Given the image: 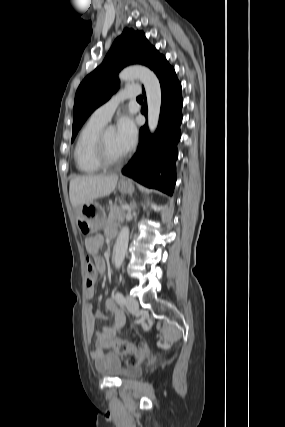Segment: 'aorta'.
Masks as SVG:
<instances>
[{
  "label": "aorta",
  "instance_id": "1",
  "mask_svg": "<svg viewBox=\"0 0 285 427\" xmlns=\"http://www.w3.org/2000/svg\"><path fill=\"white\" fill-rule=\"evenodd\" d=\"M120 81L127 82L133 79H139L146 92L147 108H148V127L153 133L159 122L160 109H161V87L157 76L149 68L134 65L123 69L119 73ZM129 241V228L124 226L116 240L114 248V265L120 268L123 264Z\"/></svg>",
  "mask_w": 285,
  "mask_h": 427
}]
</instances>
